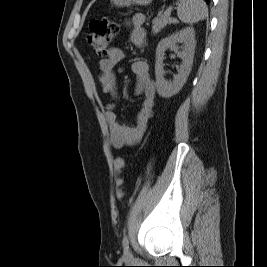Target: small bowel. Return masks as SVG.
Segmentation results:
<instances>
[{
    "label": "small bowel",
    "instance_id": "small-bowel-1",
    "mask_svg": "<svg viewBox=\"0 0 267 267\" xmlns=\"http://www.w3.org/2000/svg\"><path fill=\"white\" fill-rule=\"evenodd\" d=\"M145 16L134 14L128 22L131 29L130 41L135 47H142L146 40L143 28ZM124 58V52L119 47H113L99 62V81L104 93L108 94L110 102L105 105V117L110 131V141L114 148L138 144L147 129L154 112L155 85L151 78L149 65L144 60H136L132 64V71L136 77V93L143 96L142 107L135 124L126 125L119 122L115 113L116 102L119 100L115 66Z\"/></svg>",
    "mask_w": 267,
    "mask_h": 267
}]
</instances>
